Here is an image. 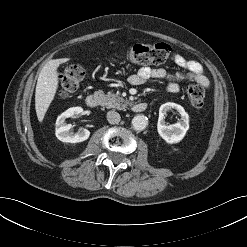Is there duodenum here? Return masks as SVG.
Masks as SVG:
<instances>
[{"label": "duodenum", "mask_w": 247, "mask_h": 247, "mask_svg": "<svg viewBox=\"0 0 247 247\" xmlns=\"http://www.w3.org/2000/svg\"><path fill=\"white\" fill-rule=\"evenodd\" d=\"M85 103L89 108H96L99 106L100 104V99L98 97V95L96 94H90L86 97L85 99ZM133 110L135 112H143L146 110L147 108V103L145 102H137L133 105Z\"/></svg>", "instance_id": "obj_1"}]
</instances>
